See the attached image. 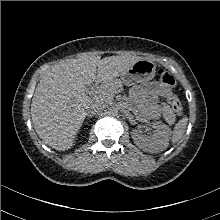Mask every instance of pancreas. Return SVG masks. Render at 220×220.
<instances>
[{
    "instance_id": "obj_1",
    "label": "pancreas",
    "mask_w": 220,
    "mask_h": 220,
    "mask_svg": "<svg viewBox=\"0 0 220 220\" xmlns=\"http://www.w3.org/2000/svg\"><path fill=\"white\" fill-rule=\"evenodd\" d=\"M108 95H109V94L104 93V94H100L99 97H96V98L98 99V103L103 104V102L107 101V100H108ZM96 98H95V99H96ZM161 110H162L164 116H166V118H167L168 120H170V119L172 120V119H173L174 116H173V112H172L170 106L164 105V106L161 108Z\"/></svg>"
}]
</instances>
